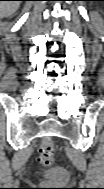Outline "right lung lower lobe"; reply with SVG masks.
<instances>
[{
	"instance_id": "1",
	"label": "right lung lower lobe",
	"mask_w": 104,
	"mask_h": 189,
	"mask_svg": "<svg viewBox=\"0 0 104 189\" xmlns=\"http://www.w3.org/2000/svg\"><path fill=\"white\" fill-rule=\"evenodd\" d=\"M7 1H27V0H7Z\"/></svg>"
}]
</instances>
